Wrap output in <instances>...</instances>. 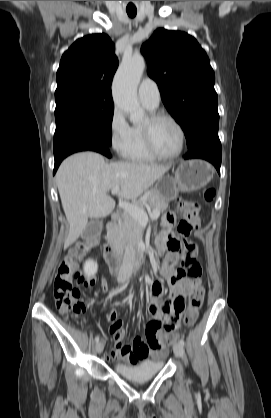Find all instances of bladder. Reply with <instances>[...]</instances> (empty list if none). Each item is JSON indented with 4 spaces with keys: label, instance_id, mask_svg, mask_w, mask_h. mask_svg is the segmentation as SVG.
Here are the masks:
<instances>
[{
    "label": "bladder",
    "instance_id": "bladder-1",
    "mask_svg": "<svg viewBox=\"0 0 271 418\" xmlns=\"http://www.w3.org/2000/svg\"><path fill=\"white\" fill-rule=\"evenodd\" d=\"M164 362L159 360H148L138 364L116 363L114 371L123 378L132 382H146L154 378L163 369Z\"/></svg>",
    "mask_w": 271,
    "mask_h": 418
}]
</instances>
